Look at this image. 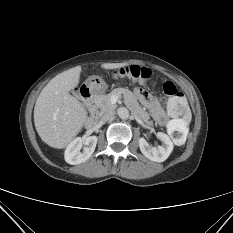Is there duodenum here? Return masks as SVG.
Instances as JSON below:
<instances>
[{
    "label": "duodenum",
    "instance_id": "410a0bca",
    "mask_svg": "<svg viewBox=\"0 0 233 233\" xmlns=\"http://www.w3.org/2000/svg\"><path fill=\"white\" fill-rule=\"evenodd\" d=\"M80 93H81V97L85 101V103L90 111L89 117L87 120V125L89 127H92L97 123L98 117H99L97 107H96V99H95V95H94V90L88 86H84V87H82Z\"/></svg>",
    "mask_w": 233,
    "mask_h": 233
}]
</instances>
